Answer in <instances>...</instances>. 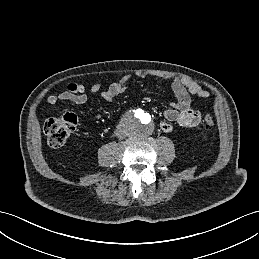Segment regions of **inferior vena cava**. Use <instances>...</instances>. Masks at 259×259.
Masks as SVG:
<instances>
[{
	"mask_svg": "<svg viewBox=\"0 0 259 259\" xmlns=\"http://www.w3.org/2000/svg\"><path fill=\"white\" fill-rule=\"evenodd\" d=\"M117 135H118V137H120V138H123V136H124V134H123L121 131H117Z\"/></svg>",
	"mask_w": 259,
	"mask_h": 259,
	"instance_id": "602c4592",
	"label": "inferior vena cava"
}]
</instances>
